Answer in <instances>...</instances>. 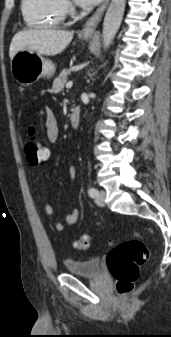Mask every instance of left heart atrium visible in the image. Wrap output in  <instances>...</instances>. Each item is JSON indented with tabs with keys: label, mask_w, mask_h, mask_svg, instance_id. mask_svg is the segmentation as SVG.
<instances>
[{
	"label": "left heart atrium",
	"mask_w": 171,
	"mask_h": 337,
	"mask_svg": "<svg viewBox=\"0 0 171 337\" xmlns=\"http://www.w3.org/2000/svg\"><path fill=\"white\" fill-rule=\"evenodd\" d=\"M101 0H75V2L84 7L94 6L98 4Z\"/></svg>",
	"instance_id": "obj_1"
}]
</instances>
